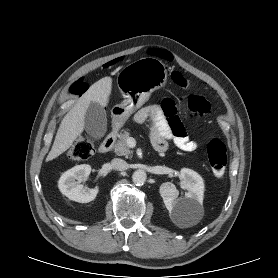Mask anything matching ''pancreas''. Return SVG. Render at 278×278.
I'll use <instances>...</instances> for the list:
<instances>
[{
	"label": "pancreas",
	"instance_id": "obj_1",
	"mask_svg": "<svg viewBox=\"0 0 278 278\" xmlns=\"http://www.w3.org/2000/svg\"><path fill=\"white\" fill-rule=\"evenodd\" d=\"M130 137L128 130H122L119 135V140L115 144L114 151L118 156L132 157V150L127 145V139Z\"/></svg>",
	"mask_w": 278,
	"mask_h": 278
}]
</instances>
